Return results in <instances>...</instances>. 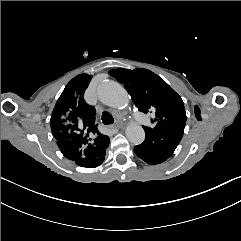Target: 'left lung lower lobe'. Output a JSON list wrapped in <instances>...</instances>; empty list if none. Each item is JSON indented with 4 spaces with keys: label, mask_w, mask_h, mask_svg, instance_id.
I'll list each match as a JSON object with an SVG mask.
<instances>
[{
    "label": "left lung lower lobe",
    "mask_w": 241,
    "mask_h": 241,
    "mask_svg": "<svg viewBox=\"0 0 241 241\" xmlns=\"http://www.w3.org/2000/svg\"><path fill=\"white\" fill-rule=\"evenodd\" d=\"M184 128L146 133L144 142L134 147L136 155L149 164L167 160L178 146Z\"/></svg>",
    "instance_id": "left-lung-lower-lobe-1"
}]
</instances>
